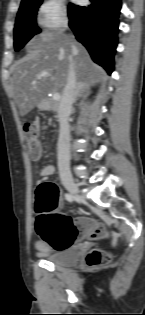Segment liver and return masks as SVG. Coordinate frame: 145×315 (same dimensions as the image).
Masks as SVG:
<instances>
[{
	"mask_svg": "<svg viewBox=\"0 0 145 315\" xmlns=\"http://www.w3.org/2000/svg\"><path fill=\"white\" fill-rule=\"evenodd\" d=\"M27 54L15 65L11 95L21 116L43 102L49 94L63 92L70 62L79 82L90 79L92 84L104 77L94 65L86 49L68 35L47 33L34 37L26 46ZM49 76L38 79L41 72Z\"/></svg>",
	"mask_w": 145,
	"mask_h": 315,
	"instance_id": "liver-1",
	"label": "liver"
}]
</instances>
